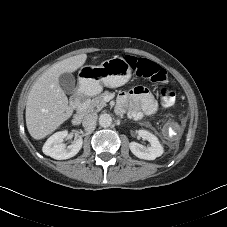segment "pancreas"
Returning <instances> with one entry per match:
<instances>
[{"label": "pancreas", "instance_id": "obj_1", "mask_svg": "<svg viewBox=\"0 0 227 227\" xmlns=\"http://www.w3.org/2000/svg\"><path fill=\"white\" fill-rule=\"evenodd\" d=\"M107 94H108V92H105V93H102V94L96 96L95 98H93L91 100L89 107L87 108V111L88 112H91V111L98 112V111L102 110L107 105L104 100V98Z\"/></svg>", "mask_w": 227, "mask_h": 227}]
</instances>
